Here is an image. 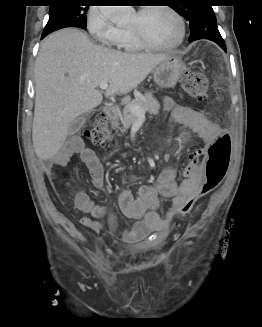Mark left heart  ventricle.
<instances>
[{"label": "left heart ventricle", "instance_id": "b2bd125f", "mask_svg": "<svg viewBox=\"0 0 262 327\" xmlns=\"http://www.w3.org/2000/svg\"><path fill=\"white\" fill-rule=\"evenodd\" d=\"M141 30L150 40L157 44H171L180 34V27L175 17L164 9H151L130 17L128 28Z\"/></svg>", "mask_w": 262, "mask_h": 327}]
</instances>
